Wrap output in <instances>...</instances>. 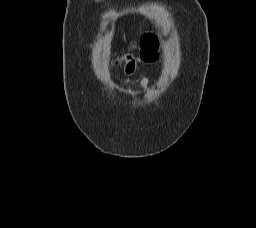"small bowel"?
Returning a JSON list of instances; mask_svg holds the SVG:
<instances>
[{
	"label": "small bowel",
	"mask_w": 256,
	"mask_h": 228,
	"mask_svg": "<svg viewBox=\"0 0 256 228\" xmlns=\"http://www.w3.org/2000/svg\"><path fill=\"white\" fill-rule=\"evenodd\" d=\"M153 60L147 59L144 56L140 55V56H132V55H127L122 59V62L125 65V72L127 75H133L135 72V68L137 66V64L139 63H149L152 62ZM137 78L139 79L140 85L142 87V89L147 92L149 90V80L148 78L139 73L137 74ZM126 81H130V79H126Z\"/></svg>",
	"instance_id": "c3829d8e"
}]
</instances>
